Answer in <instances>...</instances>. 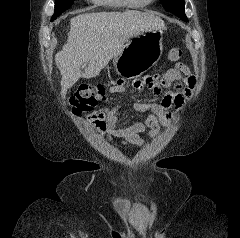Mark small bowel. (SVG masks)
Instances as JSON below:
<instances>
[{"label": "small bowel", "instance_id": "c3829d8e", "mask_svg": "<svg viewBox=\"0 0 240 238\" xmlns=\"http://www.w3.org/2000/svg\"><path fill=\"white\" fill-rule=\"evenodd\" d=\"M173 82H179L175 91L163 95L159 102H135L134 109L140 113H149L144 122H137L127 128H117L119 106L99 109L91 114L92 119H99L105 123V128L113 136L122 140L123 144L143 145L141 135L155 137L162 126L168 127L173 121V114L169 109L174 107L180 110L190 97L196 80L188 66L177 63L175 67L165 69L160 75L156 74L130 84L132 90H141L149 87L155 94H160L161 88L169 87ZM111 93H121L127 90L122 80H116L110 87Z\"/></svg>", "mask_w": 240, "mask_h": 238}]
</instances>
